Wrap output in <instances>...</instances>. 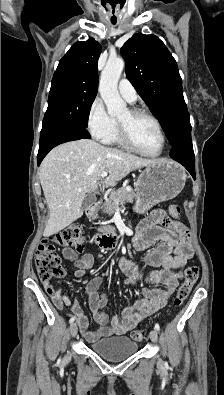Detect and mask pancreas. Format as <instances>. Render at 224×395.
Instances as JSON below:
<instances>
[{
    "instance_id": "cf45deb5",
    "label": "pancreas",
    "mask_w": 224,
    "mask_h": 395,
    "mask_svg": "<svg viewBox=\"0 0 224 395\" xmlns=\"http://www.w3.org/2000/svg\"><path fill=\"white\" fill-rule=\"evenodd\" d=\"M136 197L137 195L131 188L128 189L127 187H122L120 189H117L116 191H113L110 197L106 199L105 202L102 204V212L111 215L114 213L119 205L123 206L125 203L128 202L132 203L134 202ZM104 230L113 231L114 228L108 227L104 228Z\"/></svg>"
}]
</instances>
